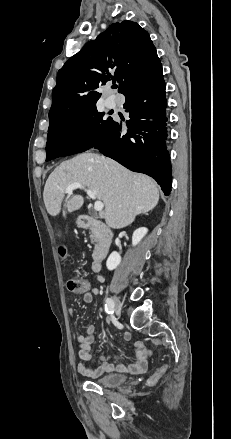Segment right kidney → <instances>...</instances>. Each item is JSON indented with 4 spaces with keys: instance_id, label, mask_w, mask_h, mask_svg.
Returning a JSON list of instances; mask_svg holds the SVG:
<instances>
[{
    "instance_id": "1",
    "label": "right kidney",
    "mask_w": 231,
    "mask_h": 439,
    "mask_svg": "<svg viewBox=\"0 0 231 439\" xmlns=\"http://www.w3.org/2000/svg\"><path fill=\"white\" fill-rule=\"evenodd\" d=\"M148 232V229L145 227H141L138 228L134 231L133 236H132V245L136 246L141 240L142 238L146 235V233ZM121 262V256L119 253L117 252H112L110 254V256L107 259L106 262V266L108 270H113L115 268H117V266L120 264Z\"/></svg>"
}]
</instances>
